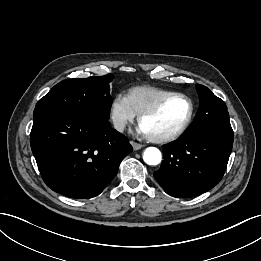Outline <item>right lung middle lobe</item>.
<instances>
[{"label":"right lung middle lobe","instance_id":"dd1d6c3e","mask_svg":"<svg viewBox=\"0 0 261 261\" xmlns=\"http://www.w3.org/2000/svg\"><path fill=\"white\" fill-rule=\"evenodd\" d=\"M114 78L106 76L75 78L55 85L36 104V108H49L88 114L110 125L112 99L109 83Z\"/></svg>","mask_w":261,"mask_h":261}]
</instances>
